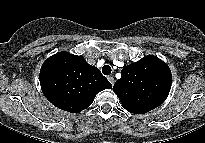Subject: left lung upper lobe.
<instances>
[{
	"label": "left lung upper lobe",
	"mask_w": 205,
	"mask_h": 143,
	"mask_svg": "<svg viewBox=\"0 0 205 143\" xmlns=\"http://www.w3.org/2000/svg\"><path fill=\"white\" fill-rule=\"evenodd\" d=\"M171 83L172 75L167 64L149 55L136 63L124 66L121 78L114 84L113 91L127 111L143 114L166 100Z\"/></svg>",
	"instance_id": "1"
}]
</instances>
